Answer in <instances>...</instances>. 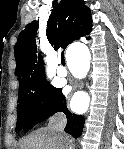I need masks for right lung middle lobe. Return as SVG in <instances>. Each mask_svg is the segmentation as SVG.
<instances>
[{"mask_svg": "<svg viewBox=\"0 0 124 149\" xmlns=\"http://www.w3.org/2000/svg\"><path fill=\"white\" fill-rule=\"evenodd\" d=\"M56 90L45 80L35 86L20 87L15 130L23 129L27 120L34 114L44 112L50 105Z\"/></svg>", "mask_w": 124, "mask_h": 149, "instance_id": "1", "label": "right lung middle lobe"}]
</instances>
